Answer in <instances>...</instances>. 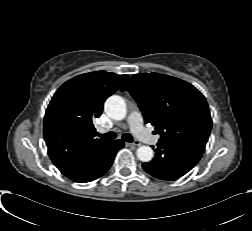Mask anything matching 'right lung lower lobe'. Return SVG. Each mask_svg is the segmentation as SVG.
Instances as JSON below:
<instances>
[{
	"instance_id": "1",
	"label": "right lung lower lobe",
	"mask_w": 252,
	"mask_h": 231,
	"mask_svg": "<svg viewBox=\"0 0 252 231\" xmlns=\"http://www.w3.org/2000/svg\"><path fill=\"white\" fill-rule=\"evenodd\" d=\"M123 146L124 142L120 139L110 141L104 148L91 155L85 172L80 177L74 179V181L85 183L104 175L111 167L116 152Z\"/></svg>"
}]
</instances>
